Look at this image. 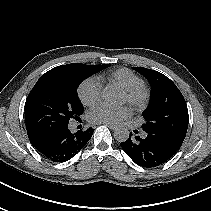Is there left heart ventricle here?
Returning <instances> with one entry per match:
<instances>
[{"instance_id": "1", "label": "left heart ventricle", "mask_w": 211, "mask_h": 211, "mask_svg": "<svg viewBox=\"0 0 211 211\" xmlns=\"http://www.w3.org/2000/svg\"><path fill=\"white\" fill-rule=\"evenodd\" d=\"M123 101H124V102L127 101V98H126L125 94H123Z\"/></svg>"}]
</instances>
